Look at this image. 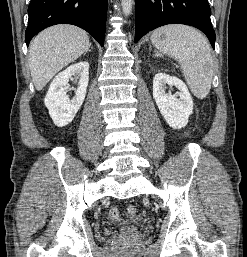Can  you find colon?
<instances>
[{
    "mask_svg": "<svg viewBox=\"0 0 247 257\" xmlns=\"http://www.w3.org/2000/svg\"><path fill=\"white\" fill-rule=\"evenodd\" d=\"M126 213L129 217H135L137 214V208L135 205H128L126 207ZM109 217L115 221L120 219L117 209H111L109 212Z\"/></svg>",
    "mask_w": 247,
    "mask_h": 257,
    "instance_id": "colon-1",
    "label": "colon"
}]
</instances>
